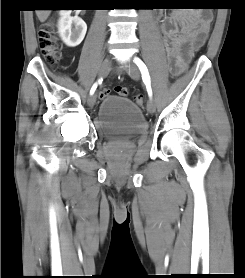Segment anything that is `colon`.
Listing matches in <instances>:
<instances>
[{"instance_id":"1","label":"colon","mask_w":245,"mask_h":278,"mask_svg":"<svg viewBox=\"0 0 245 278\" xmlns=\"http://www.w3.org/2000/svg\"><path fill=\"white\" fill-rule=\"evenodd\" d=\"M191 7L208 11L210 8H213V5L210 3V0H204L202 3L192 5ZM202 27L204 30L209 28L208 17H205ZM38 42L46 63L54 65L60 61L61 53L59 44L57 38L53 34V25L51 23H47L39 30ZM170 73L172 75H177L178 70L175 67H171ZM115 91L119 96L128 95V89L126 87H116ZM109 93V90H103L100 95H109ZM134 101L137 105H142L144 103V98L141 95H136Z\"/></svg>"}]
</instances>
